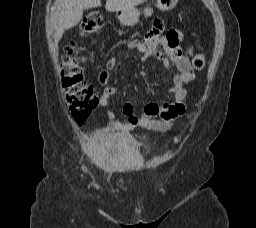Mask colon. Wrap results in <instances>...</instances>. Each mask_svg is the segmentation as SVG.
Instances as JSON below:
<instances>
[{
  "instance_id": "5ec220e1",
  "label": "colon",
  "mask_w": 256,
  "mask_h": 228,
  "mask_svg": "<svg viewBox=\"0 0 256 228\" xmlns=\"http://www.w3.org/2000/svg\"><path fill=\"white\" fill-rule=\"evenodd\" d=\"M104 20L99 11H90L82 20L80 35L86 38L103 28ZM80 44L72 42L65 48L61 58L62 87L66 103L72 117L78 123H83L99 106L100 100L93 85L89 84L83 74L78 52ZM194 69H202L205 65V56L196 54L191 58Z\"/></svg>"
}]
</instances>
